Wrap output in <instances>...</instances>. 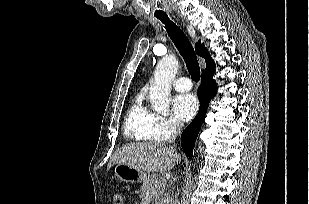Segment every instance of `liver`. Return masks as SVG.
Wrapping results in <instances>:
<instances>
[{
	"mask_svg": "<svg viewBox=\"0 0 309 204\" xmlns=\"http://www.w3.org/2000/svg\"><path fill=\"white\" fill-rule=\"evenodd\" d=\"M181 160L180 155L166 143H130L119 148L111 165L127 164L144 172L169 171Z\"/></svg>",
	"mask_w": 309,
	"mask_h": 204,
	"instance_id": "1",
	"label": "liver"
}]
</instances>
